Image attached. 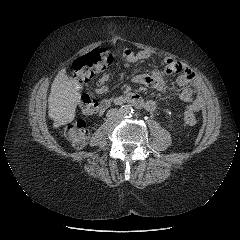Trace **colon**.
Listing matches in <instances>:
<instances>
[{"label":"colon","mask_w":240,"mask_h":240,"mask_svg":"<svg viewBox=\"0 0 240 240\" xmlns=\"http://www.w3.org/2000/svg\"><path fill=\"white\" fill-rule=\"evenodd\" d=\"M113 61V54L105 48H97L77 58L73 62L72 72L75 80L86 85L95 74L104 71ZM80 108L83 114L92 116L100 111L98 101L89 96L83 95L80 101ZM184 121L188 125L197 122L196 116L190 110H185ZM65 135L76 148H82L88 138V129L83 119L71 122L65 128Z\"/></svg>","instance_id":"obj_1"}]
</instances>
